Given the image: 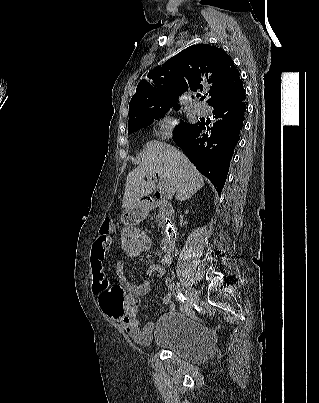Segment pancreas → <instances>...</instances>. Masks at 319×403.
<instances>
[{"label": "pancreas", "mask_w": 319, "mask_h": 403, "mask_svg": "<svg viewBox=\"0 0 319 403\" xmlns=\"http://www.w3.org/2000/svg\"><path fill=\"white\" fill-rule=\"evenodd\" d=\"M157 222L159 223V227H163V222H162V220H161V216H160V215L157 217Z\"/></svg>", "instance_id": "1"}]
</instances>
